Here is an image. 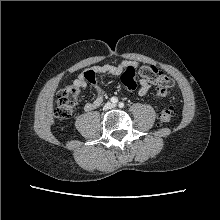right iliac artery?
I'll use <instances>...</instances> for the list:
<instances>
[{"label":"right iliac artery","mask_w":220,"mask_h":220,"mask_svg":"<svg viewBox=\"0 0 220 220\" xmlns=\"http://www.w3.org/2000/svg\"><path fill=\"white\" fill-rule=\"evenodd\" d=\"M111 102L114 103V104H116V103L118 102L117 97H112V98H111Z\"/></svg>","instance_id":"82829eb1"}]
</instances>
